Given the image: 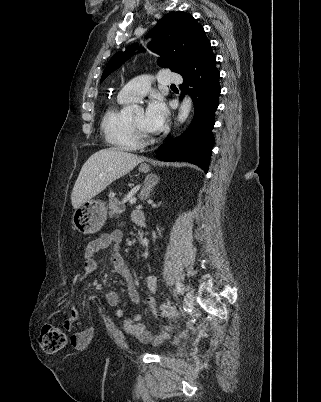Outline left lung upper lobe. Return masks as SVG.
Wrapping results in <instances>:
<instances>
[{"mask_svg": "<svg viewBox=\"0 0 321 402\" xmlns=\"http://www.w3.org/2000/svg\"><path fill=\"white\" fill-rule=\"evenodd\" d=\"M153 37L149 48L162 55L158 64L181 74L199 48L208 41L204 29L192 15L184 12H171L157 22L148 33ZM136 44L129 46L124 52H117L108 62L102 77L103 81L116 70L133 53Z\"/></svg>", "mask_w": 321, "mask_h": 402, "instance_id": "obj_1", "label": "left lung upper lobe"}]
</instances>
